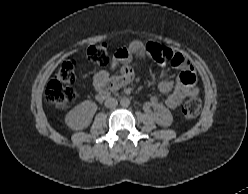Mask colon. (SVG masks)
<instances>
[{"instance_id":"5ec220e1","label":"colon","mask_w":248,"mask_h":194,"mask_svg":"<svg viewBox=\"0 0 248 194\" xmlns=\"http://www.w3.org/2000/svg\"><path fill=\"white\" fill-rule=\"evenodd\" d=\"M148 51L157 63L171 62L174 57L169 49L161 46H149ZM87 57L91 62L101 67L109 66L112 61L108 46L105 43L90 46L87 50ZM77 66V61L74 59L64 61L55 77L47 85L46 98L58 109H66L75 102L76 93L69 84L76 78ZM200 110L201 101L197 95L190 96L182 106V113L188 119L197 117Z\"/></svg>"}]
</instances>
